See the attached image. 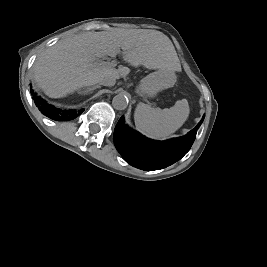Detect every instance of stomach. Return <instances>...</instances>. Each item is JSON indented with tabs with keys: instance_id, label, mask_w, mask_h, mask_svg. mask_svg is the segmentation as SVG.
I'll list each match as a JSON object with an SVG mask.
<instances>
[{
	"instance_id": "stomach-1",
	"label": "stomach",
	"mask_w": 267,
	"mask_h": 267,
	"mask_svg": "<svg viewBox=\"0 0 267 267\" xmlns=\"http://www.w3.org/2000/svg\"><path fill=\"white\" fill-rule=\"evenodd\" d=\"M175 81L176 76L173 72L159 69L140 81L137 92L143 96L154 97L158 92L172 87Z\"/></svg>"
}]
</instances>
